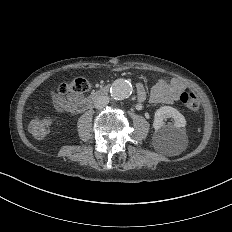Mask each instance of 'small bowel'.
<instances>
[{"label": "small bowel", "instance_id": "1", "mask_svg": "<svg viewBox=\"0 0 232 232\" xmlns=\"http://www.w3.org/2000/svg\"><path fill=\"white\" fill-rule=\"evenodd\" d=\"M186 85L183 81L173 78L170 80L161 79L155 82L151 93H148L144 85H138L133 101L137 104L159 102H175L181 93L185 91Z\"/></svg>", "mask_w": 232, "mask_h": 232}]
</instances>
